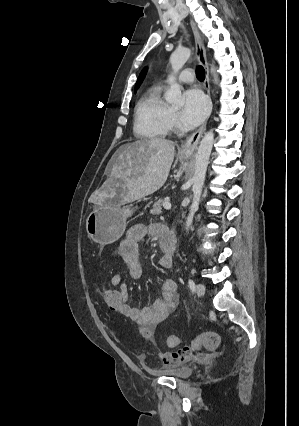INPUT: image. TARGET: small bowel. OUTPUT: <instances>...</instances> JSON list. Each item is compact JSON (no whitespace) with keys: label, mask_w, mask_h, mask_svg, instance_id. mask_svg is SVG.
I'll return each mask as SVG.
<instances>
[{"label":"small bowel","mask_w":299,"mask_h":426,"mask_svg":"<svg viewBox=\"0 0 299 426\" xmlns=\"http://www.w3.org/2000/svg\"><path fill=\"white\" fill-rule=\"evenodd\" d=\"M163 229L164 227L160 225H151L149 227L141 224L134 225L120 242L118 255L123 260L132 278L138 279L142 274V267L139 260V243L148 235L160 241ZM158 264L165 269L171 268L173 265L172 256L162 255L158 260ZM110 283L112 286L118 287L122 293L123 302L119 312L138 325L142 335L147 339L153 338L156 326L165 320L178 305L177 284L170 279L163 282L161 296L151 306L146 308L129 305L127 284L123 281L121 274L112 276ZM192 357L190 352H183L182 349L172 353H159V358L165 366L185 363L191 360Z\"/></svg>","instance_id":"obj_1"}]
</instances>
